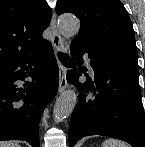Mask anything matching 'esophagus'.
Segmentation results:
<instances>
[{
    "mask_svg": "<svg viewBox=\"0 0 145 147\" xmlns=\"http://www.w3.org/2000/svg\"><path fill=\"white\" fill-rule=\"evenodd\" d=\"M50 31L52 34V44L57 52H66V45L63 38L60 36L56 25V14L53 13L50 22ZM67 87L66 69L59 63V93L63 92Z\"/></svg>",
    "mask_w": 145,
    "mask_h": 147,
    "instance_id": "1",
    "label": "esophagus"
}]
</instances>
